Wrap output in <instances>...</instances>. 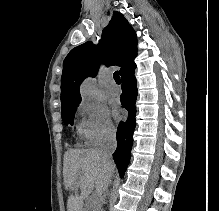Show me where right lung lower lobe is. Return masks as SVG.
I'll return each mask as SVG.
<instances>
[{
    "label": "right lung lower lobe",
    "instance_id": "right-lung-lower-lobe-1",
    "mask_svg": "<svg viewBox=\"0 0 219 211\" xmlns=\"http://www.w3.org/2000/svg\"><path fill=\"white\" fill-rule=\"evenodd\" d=\"M136 64L127 68L121 75L122 79V94L121 104L127 109L129 116L126 122H120L117 129V149L113 153V159L117 165L120 177L123 178L126 168L130 161V154L132 148V135L135 129V115H136V98H137V88H136V78L134 76V70Z\"/></svg>",
    "mask_w": 219,
    "mask_h": 211
}]
</instances>
